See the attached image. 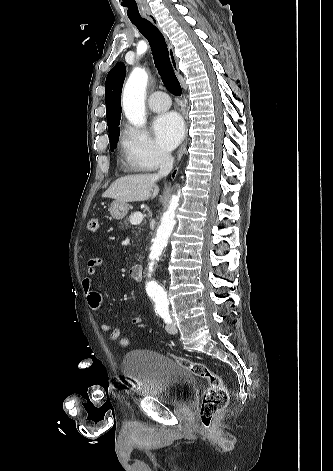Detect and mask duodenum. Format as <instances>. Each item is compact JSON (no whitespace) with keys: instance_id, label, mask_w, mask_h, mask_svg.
<instances>
[{"instance_id":"410a0bca","label":"duodenum","mask_w":333,"mask_h":471,"mask_svg":"<svg viewBox=\"0 0 333 471\" xmlns=\"http://www.w3.org/2000/svg\"><path fill=\"white\" fill-rule=\"evenodd\" d=\"M130 276L135 280H141L143 276V267L139 264L132 265L129 269Z\"/></svg>"}]
</instances>
